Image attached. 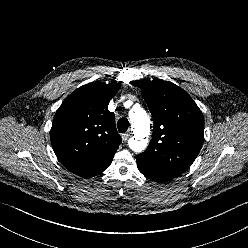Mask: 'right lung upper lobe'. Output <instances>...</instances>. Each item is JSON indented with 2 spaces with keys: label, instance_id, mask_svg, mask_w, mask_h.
<instances>
[{
  "label": "right lung upper lobe",
  "instance_id": "1",
  "mask_svg": "<svg viewBox=\"0 0 248 248\" xmlns=\"http://www.w3.org/2000/svg\"><path fill=\"white\" fill-rule=\"evenodd\" d=\"M120 84L97 81L72 92L57 110L50 139L53 150L69 171L83 178L109 167L121 143L109 101Z\"/></svg>",
  "mask_w": 248,
  "mask_h": 248
}]
</instances>
